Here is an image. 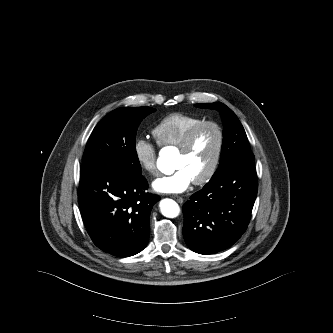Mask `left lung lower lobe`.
<instances>
[{"instance_id":"obj_1","label":"left lung lower lobe","mask_w":333,"mask_h":333,"mask_svg":"<svg viewBox=\"0 0 333 333\" xmlns=\"http://www.w3.org/2000/svg\"><path fill=\"white\" fill-rule=\"evenodd\" d=\"M253 161L233 164L183 206V235L189 248L211 254L232 246L245 232L257 195Z\"/></svg>"}]
</instances>
